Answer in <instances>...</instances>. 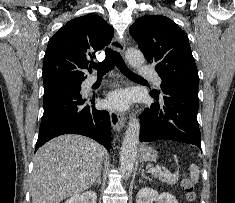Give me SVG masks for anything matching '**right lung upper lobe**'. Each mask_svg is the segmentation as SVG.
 Instances as JSON below:
<instances>
[{
  "label": "right lung upper lobe",
  "instance_id": "obj_1",
  "mask_svg": "<svg viewBox=\"0 0 235 203\" xmlns=\"http://www.w3.org/2000/svg\"><path fill=\"white\" fill-rule=\"evenodd\" d=\"M112 26L96 14L69 21L48 42L43 60L44 86L61 82H82L89 59L108 45Z\"/></svg>",
  "mask_w": 235,
  "mask_h": 203
}]
</instances>
